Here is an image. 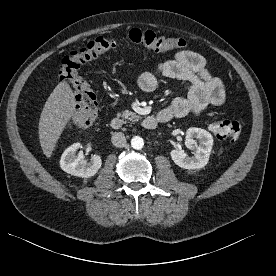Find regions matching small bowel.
Returning <instances> with one entry per match:
<instances>
[{
	"instance_id": "obj_1",
	"label": "small bowel",
	"mask_w": 276,
	"mask_h": 276,
	"mask_svg": "<svg viewBox=\"0 0 276 276\" xmlns=\"http://www.w3.org/2000/svg\"><path fill=\"white\" fill-rule=\"evenodd\" d=\"M161 77L186 81L190 89L186 97L174 99L161 110L169 119L188 114L200 115L209 106H220L225 101L222 81L206 65L205 58L190 50L177 52L172 59L160 62L152 72L138 77V85L145 92H152Z\"/></svg>"
}]
</instances>
